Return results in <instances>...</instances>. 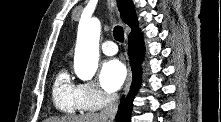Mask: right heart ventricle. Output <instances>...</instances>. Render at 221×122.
Returning <instances> with one entry per match:
<instances>
[{
  "mask_svg": "<svg viewBox=\"0 0 221 122\" xmlns=\"http://www.w3.org/2000/svg\"><path fill=\"white\" fill-rule=\"evenodd\" d=\"M76 85L66 68L61 69L55 77L52 88V100L55 107L66 114H75L84 110Z\"/></svg>",
  "mask_w": 221,
  "mask_h": 122,
  "instance_id": "1",
  "label": "right heart ventricle"
}]
</instances>
